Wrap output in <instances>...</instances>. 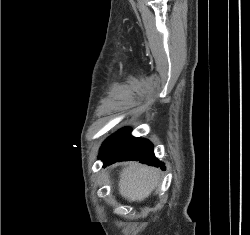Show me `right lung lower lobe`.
I'll use <instances>...</instances> for the list:
<instances>
[{"mask_svg":"<svg viewBox=\"0 0 250 235\" xmlns=\"http://www.w3.org/2000/svg\"><path fill=\"white\" fill-rule=\"evenodd\" d=\"M130 132L129 128L121 129L103 143L99 157L104 166L116 161L139 160L165 170L164 164L154 156L153 145L146 139L131 136Z\"/></svg>","mask_w":250,"mask_h":235,"instance_id":"obj_1","label":"right lung lower lobe"}]
</instances>
